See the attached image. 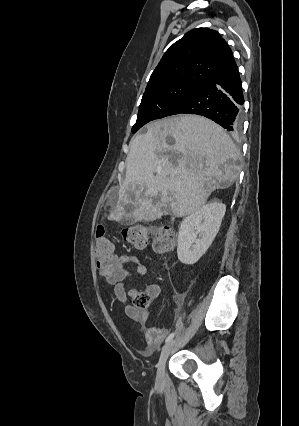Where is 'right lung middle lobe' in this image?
<instances>
[{
    "label": "right lung middle lobe",
    "mask_w": 299,
    "mask_h": 426,
    "mask_svg": "<svg viewBox=\"0 0 299 426\" xmlns=\"http://www.w3.org/2000/svg\"><path fill=\"white\" fill-rule=\"evenodd\" d=\"M197 85L173 82L145 90L139 106L138 117L132 132H137L143 125L159 119L162 114L173 104L194 91Z\"/></svg>",
    "instance_id": "obj_1"
}]
</instances>
